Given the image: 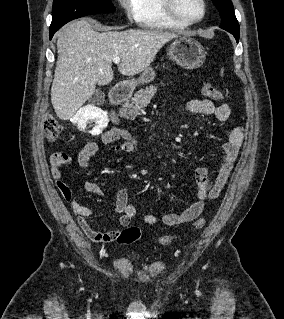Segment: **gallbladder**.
<instances>
[{"label": "gallbladder", "instance_id": "obj_1", "mask_svg": "<svg viewBox=\"0 0 284 319\" xmlns=\"http://www.w3.org/2000/svg\"><path fill=\"white\" fill-rule=\"evenodd\" d=\"M105 101V93L100 90V89H97L93 95L89 98V103L91 105H101L103 104Z\"/></svg>", "mask_w": 284, "mask_h": 319}]
</instances>
